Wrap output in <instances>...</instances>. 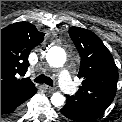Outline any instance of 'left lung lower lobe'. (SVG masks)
I'll use <instances>...</instances> for the list:
<instances>
[{
  "label": "left lung lower lobe",
  "instance_id": "1",
  "mask_svg": "<svg viewBox=\"0 0 122 122\" xmlns=\"http://www.w3.org/2000/svg\"><path fill=\"white\" fill-rule=\"evenodd\" d=\"M66 97V104L60 111L66 118L72 121L90 122L98 118L103 112L91 105L79 102L71 96Z\"/></svg>",
  "mask_w": 122,
  "mask_h": 122
}]
</instances>
